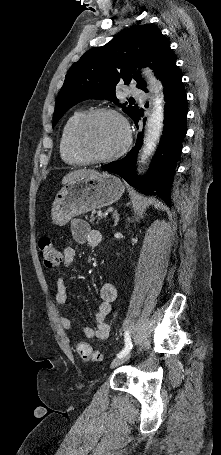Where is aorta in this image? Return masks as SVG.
<instances>
[{"mask_svg":"<svg viewBox=\"0 0 221 455\" xmlns=\"http://www.w3.org/2000/svg\"><path fill=\"white\" fill-rule=\"evenodd\" d=\"M143 74L146 78L149 90L153 92V96L151 98L152 109L146 123L143 145L139 154V173L142 172L143 165L146 164L147 160L156 149L162 133L164 120V101L163 96L159 92L158 83L153 80L148 69H145Z\"/></svg>","mask_w":221,"mask_h":455,"instance_id":"obj_1","label":"aorta"}]
</instances>
